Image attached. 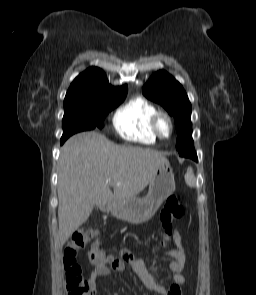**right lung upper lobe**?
<instances>
[{
	"instance_id": "1",
	"label": "right lung upper lobe",
	"mask_w": 256,
	"mask_h": 295,
	"mask_svg": "<svg viewBox=\"0 0 256 295\" xmlns=\"http://www.w3.org/2000/svg\"><path fill=\"white\" fill-rule=\"evenodd\" d=\"M127 90V85L111 86L101 69L90 67L71 83L64 99V107L91 100L118 97L127 94Z\"/></svg>"
}]
</instances>
